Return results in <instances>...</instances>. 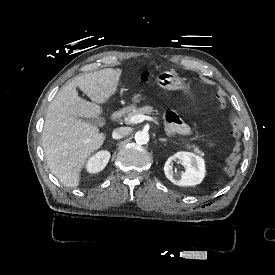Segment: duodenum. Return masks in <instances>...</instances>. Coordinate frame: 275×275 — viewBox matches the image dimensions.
<instances>
[{
  "mask_svg": "<svg viewBox=\"0 0 275 275\" xmlns=\"http://www.w3.org/2000/svg\"><path fill=\"white\" fill-rule=\"evenodd\" d=\"M126 113V109L117 110L111 117L110 122H114L121 118Z\"/></svg>",
  "mask_w": 275,
  "mask_h": 275,
  "instance_id": "410a0bca",
  "label": "duodenum"
}]
</instances>
